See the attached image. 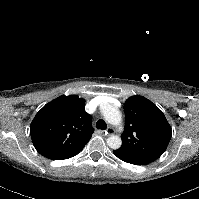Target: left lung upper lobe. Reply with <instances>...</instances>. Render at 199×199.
Listing matches in <instances>:
<instances>
[{
	"label": "left lung upper lobe",
	"mask_w": 199,
	"mask_h": 199,
	"mask_svg": "<svg viewBox=\"0 0 199 199\" xmlns=\"http://www.w3.org/2000/svg\"><path fill=\"white\" fill-rule=\"evenodd\" d=\"M125 131L117 151L153 162L166 150L172 136L162 111L142 96H132L124 104Z\"/></svg>",
	"instance_id": "1"
}]
</instances>
